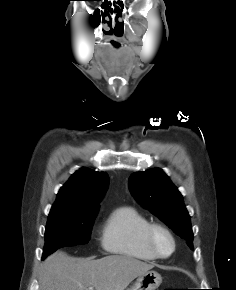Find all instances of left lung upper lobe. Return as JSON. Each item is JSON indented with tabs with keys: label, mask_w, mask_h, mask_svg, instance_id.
<instances>
[{
	"label": "left lung upper lobe",
	"mask_w": 236,
	"mask_h": 290,
	"mask_svg": "<svg viewBox=\"0 0 236 290\" xmlns=\"http://www.w3.org/2000/svg\"><path fill=\"white\" fill-rule=\"evenodd\" d=\"M129 187L141 206L185 239L193 249L190 216L182 195L161 169L133 173L129 178Z\"/></svg>",
	"instance_id": "5c2ea615"
}]
</instances>
